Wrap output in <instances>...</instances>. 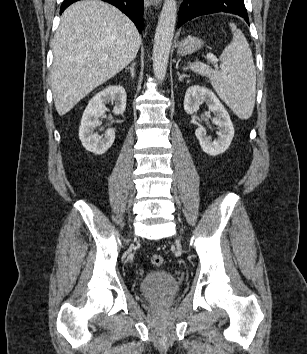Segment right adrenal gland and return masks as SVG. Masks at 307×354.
<instances>
[{"label": "right adrenal gland", "instance_id": "1", "mask_svg": "<svg viewBox=\"0 0 307 354\" xmlns=\"http://www.w3.org/2000/svg\"><path fill=\"white\" fill-rule=\"evenodd\" d=\"M135 62H133L132 64H131V66L130 67H128V68H126V69H130V72H131V76L134 78V76H135Z\"/></svg>", "mask_w": 307, "mask_h": 354}]
</instances>
